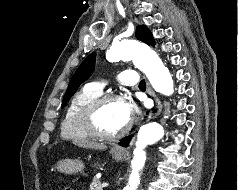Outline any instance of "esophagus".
<instances>
[{"label": "esophagus", "mask_w": 238, "mask_h": 190, "mask_svg": "<svg viewBox=\"0 0 238 190\" xmlns=\"http://www.w3.org/2000/svg\"><path fill=\"white\" fill-rule=\"evenodd\" d=\"M147 87H148V92L155 97V106L159 112L161 109V102L159 101V99L156 98L152 88L149 85H147ZM152 116H154V115L150 114L149 118H151Z\"/></svg>", "instance_id": "obj_1"}]
</instances>
